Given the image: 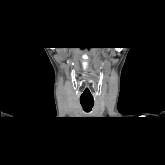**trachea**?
Masks as SVG:
<instances>
[{
    "label": "trachea",
    "mask_w": 165,
    "mask_h": 165,
    "mask_svg": "<svg viewBox=\"0 0 165 165\" xmlns=\"http://www.w3.org/2000/svg\"><path fill=\"white\" fill-rule=\"evenodd\" d=\"M80 102H81V105H82L84 111H86V112H90L93 105H94L93 100H83V99H81Z\"/></svg>",
    "instance_id": "trachea-1"
}]
</instances>
